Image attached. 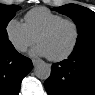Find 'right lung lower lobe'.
<instances>
[{
	"instance_id": "1",
	"label": "right lung lower lobe",
	"mask_w": 95,
	"mask_h": 95,
	"mask_svg": "<svg viewBox=\"0 0 95 95\" xmlns=\"http://www.w3.org/2000/svg\"><path fill=\"white\" fill-rule=\"evenodd\" d=\"M32 67L31 60L19 54L12 44L0 46V95H17L22 79Z\"/></svg>"
}]
</instances>
